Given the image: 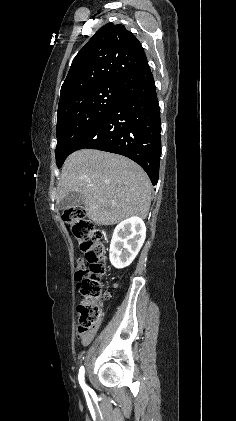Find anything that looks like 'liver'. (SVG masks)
Returning a JSON list of instances; mask_svg holds the SVG:
<instances>
[{
	"label": "liver",
	"instance_id": "1",
	"mask_svg": "<svg viewBox=\"0 0 236 421\" xmlns=\"http://www.w3.org/2000/svg\"><path fill=\"white\" fill-rule=\"evenodd\" d=\"M92 184V186H89ZM56 200L80 192L88 219L95 225H117L124 219H146L151 182L143 168L122 154L81 148L67 156Z\"/></svg>",
	"mask_w": 236,
	"mask_h": 421
}]
</instances>
